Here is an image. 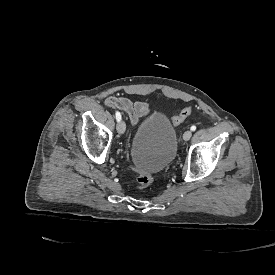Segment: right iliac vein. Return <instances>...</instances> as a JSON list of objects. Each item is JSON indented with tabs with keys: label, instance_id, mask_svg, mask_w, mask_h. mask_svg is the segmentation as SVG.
<instances>
[{
	"label": "right iliac vein",
	"instance_id": "63e3f726",
	"mask_svg": "<svg viewBox=\"0 0 275 275\" xmlns=\"http://www.w3.org/2000/svg\"><path fill=\"white\" fill-rule=\"evenodd\" d=\"M126 129V125L124 121H119L117 124V132L119 135H123Z\"/></svg>",
	"mask_w": 275,
	"mask_h": 275
}]
</instances>
